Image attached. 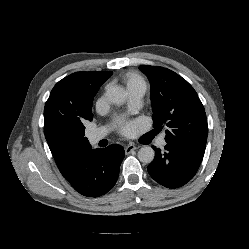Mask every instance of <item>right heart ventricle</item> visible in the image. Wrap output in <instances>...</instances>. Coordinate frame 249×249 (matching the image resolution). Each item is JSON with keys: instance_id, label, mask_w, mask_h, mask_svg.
<instances>
[{"instance_id": "obj_1", "label": "right heart ventricle", "mask_w": 249, "mask_h": 249, "mask_svg": "<svg viewBox=\"0 0 249 249\" xmlns=\"http://www.w3.org/2000/svg\"><path fill=\"white\" fill-rule=\"evenodd\" d=\"M123 82L128 91L131 90H146L147 83L142 75L135 71L126 72L122 76Z\"/></svg>"}]
</instances>
